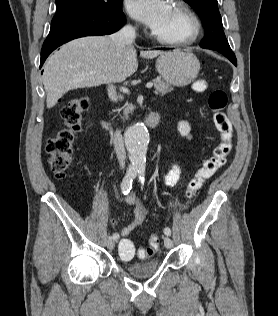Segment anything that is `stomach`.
<instances>
[{"label": "stomach", "instance_id": "0dacf381", "mask_svg": "<svg viewBox=\"0 0 278 316\" xmlns=\"http://www.w3.org/2000/svg\"><path fill=\"white\" fill-rule=\"evenodd\" d=\"M156 68L167 83L182 87L196 78L200 63L193 53L174 49L160 54L156 61Z\"/></svg>", "mask_w": 278, "mask_h": 316}]
</instances>
